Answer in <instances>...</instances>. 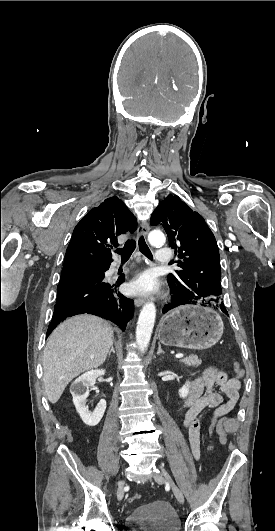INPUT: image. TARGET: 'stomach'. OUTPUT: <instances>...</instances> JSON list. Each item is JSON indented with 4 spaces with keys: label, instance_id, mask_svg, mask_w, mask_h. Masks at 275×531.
<instances>
[{
    "label": "stomach",
    "instance_id": "obj_1",
    "mask_svg": "<svg viewBox=\"0 0 275 531\" xmlns=\"http://www.w3.org/2000/svg\"><path fill=\"white\" fill-rule=\"evenodd\" d=\"M223 321L216 311L202 307L201 301H184L158 325V339L167 347L180 349H210L220 341Z\"/></svg>",
    "mask_w": 275,
    "mask_h": 531
}]
</instances>
